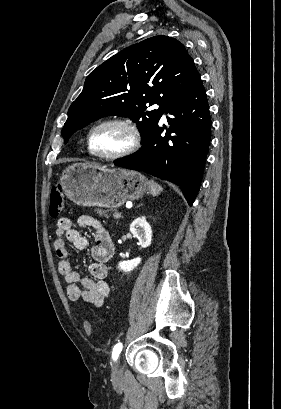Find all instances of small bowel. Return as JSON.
Instances as JSON below:
<instances>
[{
    "mask_svg": "<svg viewBox=\"0 0 281 409\" xmlns=\"http://www.w3.org/2000/svg\"><path fill=\"white\" fill-rule=\"evenodd\" d=\"M78 224L90 229L94 235L93 262L89 265L91 277L80 275L71 265L70 251L66 244L70 243L82 250L87 247V240L66 216L58 219L55 230L58 269L68 285L67 295L71 301L100 307L114 291V285L108 280V262L114 254V245L106 227L96 218L83 215L78 219Z\"/></svg>",
    "mask_w": 281,
    "mask_h": 409,
    "instance_id": "1",
    "label": "small bowel"
}]
</instances>
